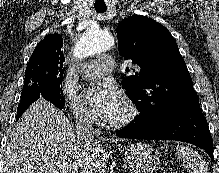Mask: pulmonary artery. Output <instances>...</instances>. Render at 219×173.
<instances>
[{
    "instance_id": "1",
    "label": "pulmonary artery",
    "mask_w": 219,
    "mask_h": 173,
    "mask_svg": "<svg viewBox=\"0 0 219 173\" xmlns=\"http://www.w3.org/2000/svg\"><path fill=\"white\" fill-rule=\"evenodd\" d=\"M115 68V60L110 55H102L97 59L86 63L81 70V74L86 79H95L111 72Z\"/></svg>"
}]
</instances>
